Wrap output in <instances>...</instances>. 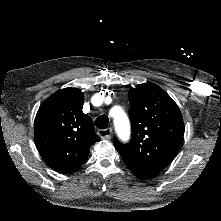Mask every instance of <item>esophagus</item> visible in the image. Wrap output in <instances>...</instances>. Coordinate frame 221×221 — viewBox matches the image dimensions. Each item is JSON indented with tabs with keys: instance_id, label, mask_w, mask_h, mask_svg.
I'll use <instances>...</instances> for the list:
<instances>
[{
	"instance_id": "34e87169",
	"label": "esophagus",
	"mask_w": 221,
	"mask_h": 221,
	"mask_svg": "<svg viewBox=\"0 0 221 221\" xmlns=\"http://www.w3.org/2000/svg\"><path fill=\"white\" fill-rule=\"evenodd\" d=\"M111 133H112V129L111 128H106V129L98 130V135L103 140H110L111 139Z\"/></svg>"
}]
</instances>
